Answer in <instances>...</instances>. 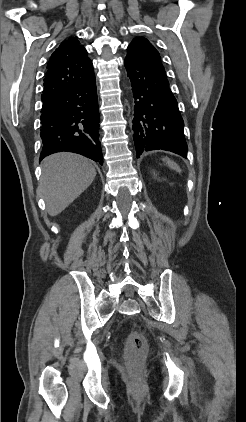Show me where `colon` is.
Instances as JSON below:
<instances>
[{"mask_svg":"<svg viewBox=\"0 0 246 422\" xmlns=\"http://www.w3.org/2000/svg\"><path fill=\"white\" fill-rule=\"evenodd\" d=\"M147 351V342L143 334L132 331L127 339L125 356L129 365L137 366L144 359Z\"/></svg>","mask_w":246,"mask_h":422,"instance_id":"5ec220e1","label":"colon"}]
</instances>
